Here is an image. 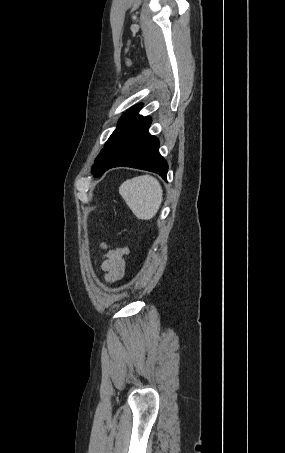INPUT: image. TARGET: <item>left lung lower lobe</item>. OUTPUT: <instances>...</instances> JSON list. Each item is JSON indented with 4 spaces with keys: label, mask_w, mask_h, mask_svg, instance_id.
I'll return each instance as SVG.
<instances>
[{
    "label": "left lung lower lobe",
    "mask_w": 285,
    "mask_h": 453,
    "mask_svg": "<svg viewBox=\"0 0 285 453\" xmlns=\"http://www.w3.org/2000/svg\"><path fill=\"white\" fill-rule=\"evenodd\" d=\"M150 124L149 116H139L119 138L97 177L110 168L126 166L155 172L167 180L168 164L159 153L158 139L148 132Z\"/></svg>",
    "instance_id": "obj_1"
}]
</instances>
